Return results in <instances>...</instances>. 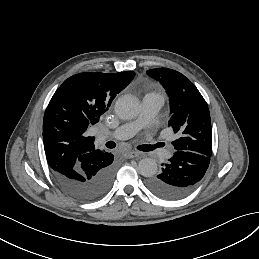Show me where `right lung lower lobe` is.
Wrapping results in <instances>:
<instances>
[{"mask_svg": "<svg viewBox=\"0 0 259 259\" xmlns=\"http://www.w3.org/2000/svg\"><path fill=\"white\" fill-rule=\"evenodd\" d=\"M113 159L112 154L104 152L100 158L80 166L73 173H52L57 184L70 197L81 202H91L109 191L115 174Z\"/></svg>", "mask_w": 259, "mask_h": 259, "instance_id": "obj_1", "label": "right lung lower lobe"}]
</instances>
